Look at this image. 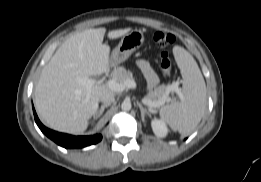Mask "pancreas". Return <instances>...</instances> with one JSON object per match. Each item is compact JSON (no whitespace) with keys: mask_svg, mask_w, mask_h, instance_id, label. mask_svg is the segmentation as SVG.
Here are the masks:
<instances>
[{"mask_svg":"<svg viewBox=\"0 0 261 182\" xmlns=\"http://www.w3.org/2000/svg\"><path fill=\"white\" fill-rule=\"evenodd\" d=\"M112 77L114 80L119 82L134 80L133 74L130 71H127L124 67H118L114 69ZM167 91L168 86L162 85L157 87L154 91L149 92L145 98L156 104L161 102L165 103L168 100Z\"/></svg>","mask_w":261,"mask_h":182,"instance_id":"1","label":"pancreas"}]
</instances>
